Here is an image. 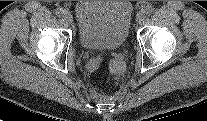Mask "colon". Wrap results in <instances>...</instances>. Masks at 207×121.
<instances>
[{
	"mask_svg": "<svg viewBox=\"0 0 207 121\" xmlns=\"http://www.w3.org/2000/svg\"><path fill=\"white\" fill-rule=\"evenodd\" d=\"M109 70L113 75H120L125 70V64L120 58H114L110 61Z\"/></svg>",
	"mask_w": 207,
	"mask_h": 121,
	"instance_id": "1",
	"label": "colon"
}]
</instances>
